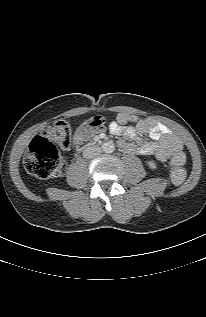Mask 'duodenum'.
Segmentation results:
<instances>
[{
  "label": "duodenum",
  "mask_w": 206,
  "mask_h": 317,
  "mask_svg": "<svg viewBox=\"0 0 206 317\" xmlns=\"http://www.w3.org/2000/svg\"><path fill=\"white\" fill-rule=\"evenodd\" d=\"M91 147H92V145H86V146L82 147L81 150L85 151V150H88Z\"/></svg>",
  "instance_id": "410a0bca"
}]
</instances>
